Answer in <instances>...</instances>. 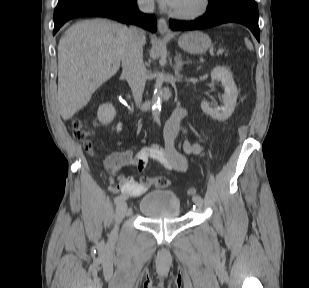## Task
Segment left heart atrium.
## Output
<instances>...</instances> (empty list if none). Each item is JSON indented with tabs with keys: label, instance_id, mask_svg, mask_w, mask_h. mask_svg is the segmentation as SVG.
Returning a JSON list of instances; mask_svg holds the SVG:
<instances>
[{
	"label": "left heart atrium",
	"instance_id": "left-heart-atrium-1",
	"mask_svg": "<svg viewBox=\"0 0 309 288\" xmlns=\"http://www.w3.org/2000/svg\"><path fill=\"white\" fill-rule=\"evenodd\" d=\"M164 6L172 8L176 0H159Z\"/></svg>",
	"mask_w": 309,
	"mask_h": 288
}]
</instances>
